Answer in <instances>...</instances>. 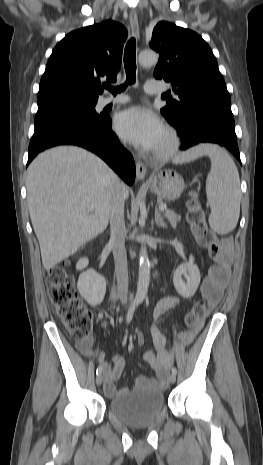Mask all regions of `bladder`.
<instances>
[{"mask_svg":"<svg viewBox=\"0 0 263 465\" xmlns=\"http://www.w3.org/2000/svg\"><path fill=\"white\" fill-rule=\"evenodd\" d=\"M164 395L151 387L126 391L112 399L109 412L122 423L133 428L151 426L163 412Z\"/></svg>","mask_w":263,"mask_h":465,"instance_id":"bladder-1","label":"bladder"}]
</instances>
